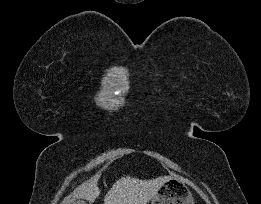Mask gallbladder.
<instances>
[{"instance_id":"1","label":"gallbladder","mask_w":261,"mask_h":204,"mask_svg":"<svg viewBox=\"0 0 261 204\" xmlns=\"http://www.w3.org/2000/svg\"><path fill=\"white\" fill-rule=\"evenodd\" d=\"M71 204H87L84 200L76 199L73 200Z\"/></svg>"}]
</instances>
